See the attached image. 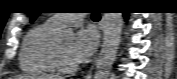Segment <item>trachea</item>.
<instances>
[{
  "label": "trachea",
  "instance_id": "1",
  "mask_svg": "<svg viewBox=\"0 0 177 79\" xmlns=\"http://www.w3.org/2000/svg\"><path fill=\"white\" fill-rule=\"evenodd\" d=\"M92 19H93L94 21H98V20L100 19V15H99V14H93V15H92Z\"/></svg>",
  "mask_w": 177,
  "mask_h": 79
}]
</instances>
